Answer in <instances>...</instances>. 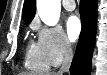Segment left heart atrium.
<instances>
[{"mask_svg":"<svg viewBox=\"0 0 107 75\" xmlns=\"http://www.w3.org/2000/svg\"><path fill=\"white\" fill-rule=\"evenodd\" d=\"M66 28L70 40L75 41L78 39L82 31V24L80 19L76 16L69 17Z\"/></svg>","mask_w":107,"mask_h":75,"instance_id":"left-heart-atrium-1","label":"left heart atrium"}]
</instances>
